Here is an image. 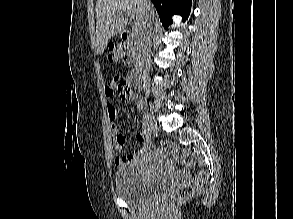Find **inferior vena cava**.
<instances>
[{
    "label": "inferior vena cava",
    "mask_w": 293,
    "mask_h": 219,
    "mask_svg": "<svg viewBox=\"0 0 293 219\" xmlns=\"http://www.w3.org/2000/svg\"><path fill=\"white\" fill-rule=\"evenodd\" d=\"M142 2L146 8V14H145L146 18H145V25L140 35V56H139L137 72L141 76L146 77L151 67V59H150L149 51H150L151 37H152V31H153V17L149 13V9L151 6L150 0H142Z\"/></svg>",
    "instance_id": "1"
}]
</instances>
